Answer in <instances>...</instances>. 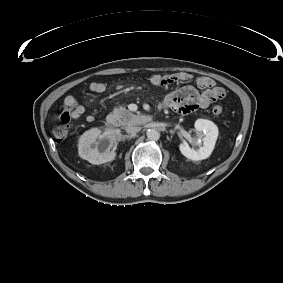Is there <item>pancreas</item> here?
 Returning a JSON list of instances; mask_svg holds the SVG:
<instances>
[{
	"label": "pancreas",
	"instance_id": "1",
	"mask_svg": "<svg viewBox=\"0 0 283 283\" xmlns=\"http://www.w3.org/2000/svg\"><path fill=\"white\" fill-rule=\"evenodd\" d=\"M111 115L114 118V123L116 126L126 127L141 123V117L139 115L133 114L124 107L115 108Z\"/></svg>",
	"mask_w": 283,
	"mask_h": 283
}]
</instances>
